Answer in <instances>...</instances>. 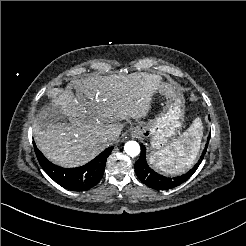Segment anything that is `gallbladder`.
Returning <instances> with one entry per match:
<instances>
[{
  "label": "gallbladder",
  "instance_id": "bac80fb5",
  "mask_svg": "<svg viewBox=\"0 0 246 246\" xmlns=\"http://www.w3.org/2000/svg\"><path fill=\"white\" fill-rule=\"evenodd\" d=\"M41 111H44V116H46L48 120H53V118L63 120L62 116L58 113V108H54L51 105L43 106Z\"/></svg>",
  "mask_w": 246,
  "mask_h": 246
}]
</instances>
